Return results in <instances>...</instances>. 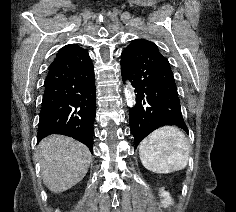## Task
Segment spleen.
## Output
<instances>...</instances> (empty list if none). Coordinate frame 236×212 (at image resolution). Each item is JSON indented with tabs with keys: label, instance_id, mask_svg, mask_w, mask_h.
Segmentation results:
<instances>
[{
	"label": "spleen",
	"instance_id": "1",
	"mask_svg": "<svg viewBox=\"0 0 236 212\" xmlns=\"http://www.w3.org/2000/svg\"><path fill=\"white\" fill-rule=\"evenodd\" d=\"M189 144L184 133L174 126L152 132L139 145L143 166L155 173L167 174L187 166Z\"/></svg>",
	"mask_w": 236,
	"mask_h": 212
}]
</instances>
